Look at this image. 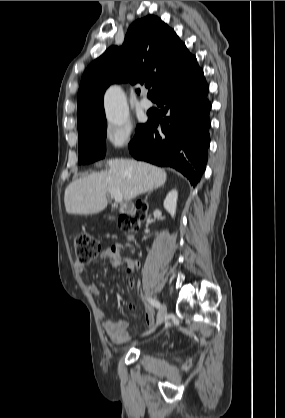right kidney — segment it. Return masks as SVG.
Instances as JSON below:
<instances>
[{"mask_svg":"<svg viewBox=\"0 0 285 418\" xmlns=\"http://www.w3.org/2000/svg\"><path fill=\"white\" fill-rule=\"evenodd\" d=\"M177 198L178 192L176 189H173L167 194L164 200V208L171 214L172 217H174L176 213Z\"/></svg>","mask_w":285,"mask_h":418,"instance_id":"obj_1","label":"right kidney"}]
</instances>
